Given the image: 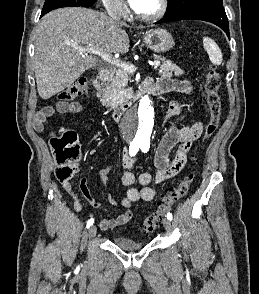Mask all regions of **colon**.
I'll return each instance as SVG.
<instances>
[{"instance_id":"5ec220e1","label":"colon","mask_w":259,"mask_h":294,"mask_svg":"<svg viewBox=\"0 0 259 294\" xmlns=\"http://www.w3.org/2000/svg\"><path fill=\"white\" fill-rule=\"evenodd\" d=\"M86 78H80L71 86L58 94V100L70 102L83 94L87 88ZM221 85L220 74L215 67H210L205 80L206 103L209 110V121L204 131V142L211 138L217 131L221 120V99L219 89ZM51 148L56 160L55 174L59 181H69L77 171V163L80 159V149L77 143L76 133L72 130L61 129L50 140ZM194 173L190 172L175 187L168 189L158 203L156 209L151 212L142 222L141 231L144 235L152 233L159 222L172 206L181 198L185 197L193 181Z\"/></svg>"}]
</instances>
